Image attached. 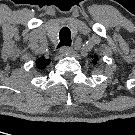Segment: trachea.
<instances>
[{
  "label": "trachea",
  "mask_w": 135,
  "mask_h": 135,
  "mask_svg": "<svg viewBox=\"0 0 135 135\" xmlns=\"http://www.w3.org/2000/svg\"><path fill=\"white\" fill-rule=\"evenodd\" d=\"M59 39H60V43L58 44L57 48L71 45V32L68 27H63L60 30Z\"/></svg>",
  "instance_id": "trachea-1"
}]
</instances>
